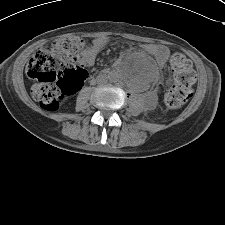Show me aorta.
I'll list each match as a JSON object with an SVG mask.
<instances>
[{"label": "aorta", "mask_w": 225, "mask_h": 225, "mask_svg": "<svg viewBox=\"0 0 225 225\" xmlns=\"http://www.w3.org/2000/svg\"><path fill=\"white\" fill-rule=\"evenodd\" d=\"M109 80H110L111 82H117V81H118V77L115 76V75H110V76H109Z\"/></svg>", "instance_id": "obj_1"}]
</instances>
